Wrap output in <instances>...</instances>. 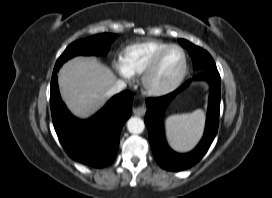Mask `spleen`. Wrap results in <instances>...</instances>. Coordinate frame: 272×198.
I'll return each mask as SVG.
<instances>
[{
	"label": "spleen",
	"instance_id": "3e777b00",
	"mask_svg": "<svg viewBox=\"0 0 272 198\" xmlns=\"http://www.w3.org/2000/svg\"><path fill=\"white\" fill-rule=\"evenodd\" d=\"M205 125L201 109L192 113L169 116L165 121L166 135L170 145L178 151H188L200 139Z\"/></svg>",
	"mask_w": 272,
	"mask_h": 198
}]
</instances>
